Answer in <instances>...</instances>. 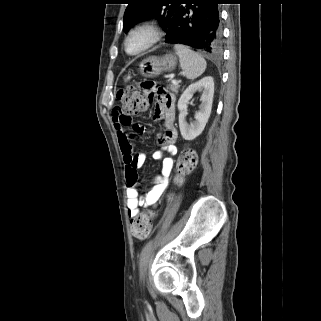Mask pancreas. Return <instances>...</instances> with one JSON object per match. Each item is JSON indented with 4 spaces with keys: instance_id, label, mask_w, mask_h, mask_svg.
Returning a JSON list of instances; mask_svg holds the SVG:
<instances>
[{
    "instance_id": "1",
    "label": "pancreas",
    "mask_w": 321,
    "mask_h": 321,
    "mask_svg": "<svg viewBox=\"0 0 321 321\" xmlns=\"http://www.w3.org/2000/svg\"><path fill=\"white\" fill-rule=\"evenodd\" d=\"M179 84L178 83H174V82H172V83H170L169 85H168V88L171 90V91H173L174 93H178V89H179Z\"/></svg>"
}]
</instances>
